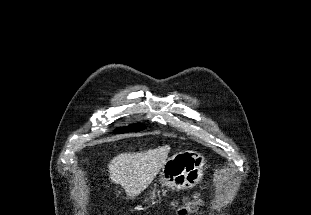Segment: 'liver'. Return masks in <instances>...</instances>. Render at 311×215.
Returning <instances> with one entry per match:
<instances>
[{"instance_id":"obj_1","label":"liver","mask_w":311,"mask_h":215,"mask_svg":"<svg viewBox=\"0 0 311 215\" xmlns=\"http://www.w3.org/2000/svg\"><path fill=\"white\" fill-rule=\"evenodd\" d=\"M170 152L165 145L143 152L121 153L108 164L109 178L120 184L127 197L138 196L162 169Z\"/></svg>"}]
</instances>
